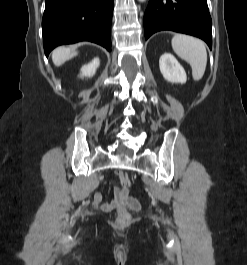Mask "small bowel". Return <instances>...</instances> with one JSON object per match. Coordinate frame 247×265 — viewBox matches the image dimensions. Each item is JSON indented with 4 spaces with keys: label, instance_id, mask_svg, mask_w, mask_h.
I'll return each mask as SVG.
<instances>
[{
    "label": "small bowel",
    "instance_id": "1",
    "mask_svg": "<svg viewBox=\"0 0 247 265\" xmlns=\"http://www.w3.org/2000/svg\"><path fill=\"white\" fill-rule=\"evenodd\" d=\"M93 203L103 212H110L117 207H125L134 212L140 210L139 202L135 198L129 196L127 191H123L119 187H116L114 199L111 202H103L102 195L100 193H95Z\"/></svg>",
    "mask_w": 247,
    "mask_h": 265
}]
</instances>
